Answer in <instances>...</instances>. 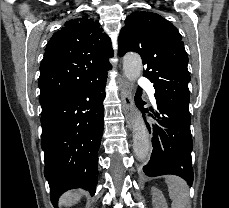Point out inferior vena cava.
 <instances>
[{
	"mask_svg": "<svg viewBox=\"0 0 229 208\" xmlns=\"http://www.w3.org/2000/svg\"><path fill=\"white\" fill-rule=\"evenodd\" d=\"M138 118H140V116H137L136 120H135V130H141L140 126H139V120Z\"/></svg>",
	"mask_w": 229,
	"mask_h": 208,
	"instance_id": "obj_1",
	"label": "inferior vena cava"
}]
</instances>
